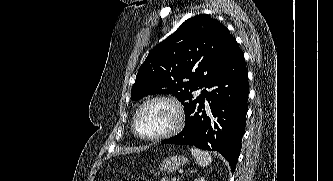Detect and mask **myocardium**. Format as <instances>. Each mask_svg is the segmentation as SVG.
Returning <instances> with one entry per match:
<instances>
[{"instance_id": "obj_1", "label": "myocardium", "mask_w": 333, "mask_h": 181, "mask_svg": "<svg viewBox=\"0 0 333 181\" xmlns=\"http://www.w3.org/2000/svg\"><path fill=\"white\" fill-rule=\"evenodd\" d=\"M154 102H166V103L170 104L175 111V122L169 130H167L161 134H158L155 136H143L142 134L139 133V131L137 130V127H136L137 118H138L139 114L141 113V111L146 106H148ZM184 119H185L184 107L177 98H175L173 96H169V95H156V96L148 98L147 100H145L144 102H142L139 105V107L137 108V110L133 116L131 127H132L133 133L142 140L161 141V140L170 138V137L174 136L175 134H177L184 125Z\"/></svg>"}]
</instances>
